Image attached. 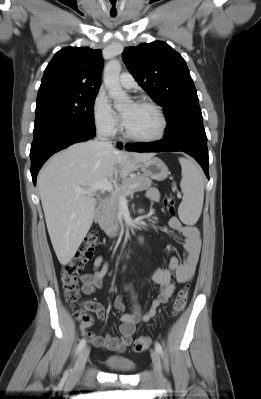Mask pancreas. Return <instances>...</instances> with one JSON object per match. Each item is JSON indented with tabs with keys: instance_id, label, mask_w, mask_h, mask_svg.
I'll use <instances>...</instances> for the list:
<instances>
[{
	"instance_id": "obj_1",
	"label": "pancreas",
	"mask_w": 261,
	"mask_h": 399,
	"mask_svg": "<svg viewBox=\"0 0 261 399\" xmlns=\"http://www.w3.org/2000/svg\"><path fill=\"white\" fill-rule=\"evenodd\" d=\"M151 184L152 180L145 175H134L127 178L120 188L111 195L99 222L101 229L109 237L117 236L120 226L123 229L122 216L120 214V196L126 197L136 191L146 190Z\"/></svg>"
}]
</instances>
